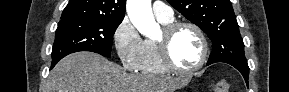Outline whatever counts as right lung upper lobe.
Segmentation results:
<instances>
[{
	"mask_svg": "<svg viewBox=\"0 0 289 92\" xmlns=\"http://www.w3.org/2000/svg\"><path fill=\"white\" fill-rule=\"evenodd\" d=\"M126 0H70L63 10L61 20L90 19L122 21Z\"/></svg>",
	"mask_w": 289,
	"mask_h": 92,
	"instance_id": "cb5924a9",
	"label": "right lung upper lobe"
}]
</instances>
